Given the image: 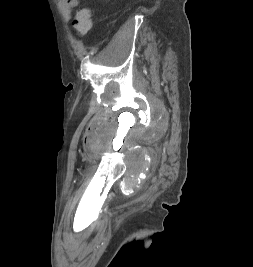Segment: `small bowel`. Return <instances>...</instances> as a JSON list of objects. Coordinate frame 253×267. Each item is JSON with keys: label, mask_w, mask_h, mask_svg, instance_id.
Segmentation results:
<instances>
[{"label": "small bowel", "mask_w": 253, "mask_h": 267, "mask_svg": "<svg viewBox=\"0 0 253 267\" xmlns=\"http://www.w3.org/2000/svg\"><path fill=\"white\" fill-rule=\"evenodd\" d=\"M56 2L63 18L67 21L79 5V0H56Z\"/></svg>", "instance_id": "obj_1"}]
</instances>
